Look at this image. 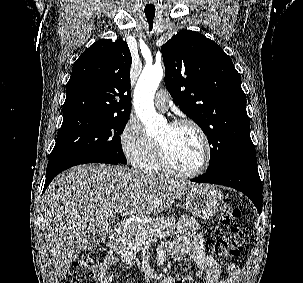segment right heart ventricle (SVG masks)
<instances>
[{
    "instance_id": "right-heart-ventricle-1",
    "label": "right heart ventricle",
    "mask_w": 303,
    "mask_h": 283,
    "mask_svg": "<svg viewBox=\"0 0 303 283\" xmlns=\"http://www.w3.org/2000/svg\"><path fill=\"white\" fill-rule=\"evenodd\" d=\"M140 168L149 174H158L162 171L159 164L157 149L155 148L148 159L140 166Z\"/></svg>"
}]
</instances>
